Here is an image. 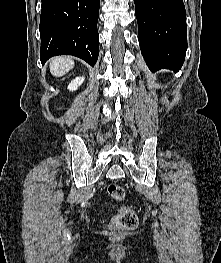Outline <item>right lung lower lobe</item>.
Returning <instances> with one entry per match:
<instances>
[{"mask_svg":"<svg viewBox=\"0 0 221 263\" xmlns=\"http://www.w3.org/2000/svg\"><path fill=\"white\" fill-rule=\"evenodd\" d=\"M41 51L44 64L55 55H73L94 66L99 54L100 0H41Z\"/></svg>","mask_w":221,"mask_h":263,"instance_id":"1","label":"right lung lower lobe"}]
</instances>
